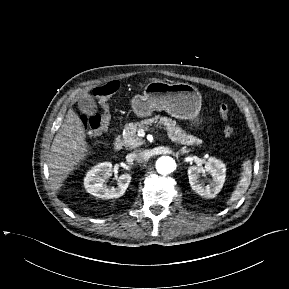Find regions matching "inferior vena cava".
I'll use <instances>...</instances> for the list:
<instances>
[{"instance_id":"602c4592","label":"inferior vena cava","mask_w":289,"mask_h":289,"mask_svg":"<svg viewBox=\"0 0 289 289\" xmlns=\"http://www.w3.org/2000/svg\"><path fill=\"white\" fill-rule=\"evenodd\" d=\"M126 159L128 162L136 161L138 163H142L144 161H147L149 159V154L146 152V150H135L132 153L128 154L126 156Z\"/></svg>"}]
</instances>
